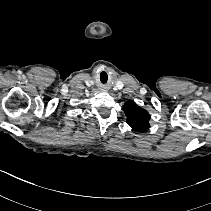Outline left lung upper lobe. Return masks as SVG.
<instances>
[{"instance_id": "1", "label": "left lung upper lobe", "mask_w": 211, "mask_h": 211, "mask_svg": "<svg viewBox=\"0 0 211 211\" xmlns=\"http://www.w3.org/2000/svg\"><path fill=\"white\" fill-rule=\"evenodd\" d=\"M127 123L135 131L144 132L149 128V113L136 105L133 101H127L123 106Z\"/></svg>"}]
</instances>
